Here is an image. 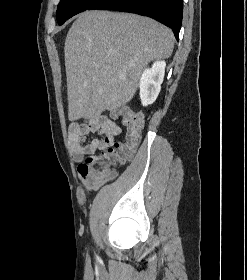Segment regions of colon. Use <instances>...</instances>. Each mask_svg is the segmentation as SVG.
Instances as JSON below:
<instances>
[{
  "mask_svg": "<svg viewBox=\"0 0 247 280\" xmlns=\"http://www.w3.org/2000/svg\"><path fill=\"white\" fill-rule=\"evenodd\" d=\"M122 118L126 128L124 142H115L101 154L88 157L82 166L84 173L98 179H109L113 174L112 165L132 156L141 139L143 117L139 113L125 110L122 112Z\"/></svg>",
  "mask_w": 247,
  "mask_h": 280,
  "instance_id": "5ec220e1",
  "label": "colon"
}]
</instances>
